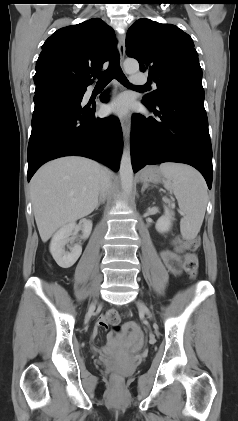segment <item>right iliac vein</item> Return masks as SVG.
Here are the masks:
<instances>
[{
  "label": "right iliac vein",
  "instance_id": "obj_1",
  "mask_svg": "<svg viewBox=\"0 0 238 421\" xmlns=\"http://www.w3.org/2000/svg\"><path fill=\"white\" fill-rule=\"evenodd\" d=\"M95 303H93L90 307V310H92L94 308Z\"/></svg>",
  "mask_w": 238,
  "mask_h": 421
}]
</instances>
